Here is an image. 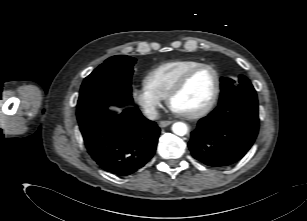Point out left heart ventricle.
I'll list each match as a JSON object with an SVG mask.
<instances>
[{"instance_id": "obj_1", "label": "left heart ventricle", "mask_w": 307, "mask_h": 221, "mask_svg": "<svg viewBox=\"0 0 307 221\" xmlns=\"http://www.w3.org/2000/svg\"><path fill=\"white\" fill-rule=\"evenodd\" d=\"M215 77L211 70L202 69L189 80L186 87L173 99V110L190 114L203 108L211 99Z\"/></svg>"}]
</instances>
